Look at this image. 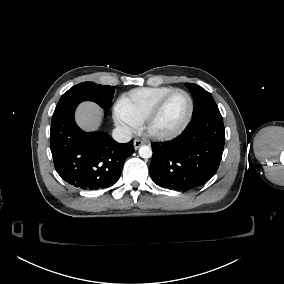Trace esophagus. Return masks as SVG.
<instances>
[{
	"label": "esophagus",
	"mask_w": 284,
	"mask_h": 284,
	"mask_svg": "<svg viewBox=\"0 0 284 284\" xmlns=\"http://www.w3.org/2000/svg\"><path fill=\"white\" fill-rule=\"evenodd\" d=\"M142 144H143V141L141 139H134V149L135 150H137Z\"/></svg>",
	"instance_id": "34e87169"
}]
</instances>
